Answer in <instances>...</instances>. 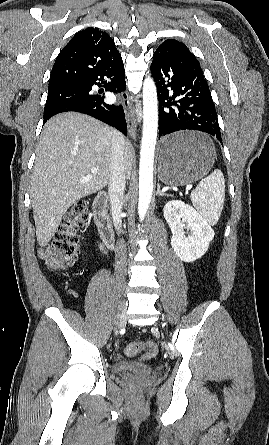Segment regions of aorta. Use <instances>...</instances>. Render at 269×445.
<instances>
[{
	"label": "aorta",
	"mask_w": 269,
	"mask_h": 445,
	"mask_svg": "<svg viewBox=\"0 0 269 445\" xmlns=\"http://www.w3.org/2000/svg\"><path fill=\"white\" fill-rule=\"evenodd\" d=\"M158 131V99L155 82L147 77L143 83V130L139 163L138 213L142 221L153 191V163Z\"/></svg>",
	"instance_id": "1"
}]
</instances>
